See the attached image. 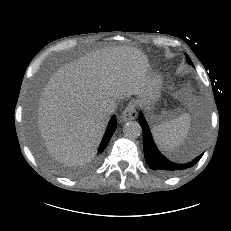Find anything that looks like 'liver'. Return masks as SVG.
Segmentation results:
<instances>
[{
  "instance_id": "liver-1",
  "label": "liver",
  "mask_w": 231,
  "mask_h": 231,
  "mask_svg": "<svg viewBox=\"0 0 231 231\" xmlns=\"http://www.w3.org/2000/svg\"><path fill=\"white\" fill-rule=\"evenodd\" d=\"M149 72L146 55L130 46L88 53L55 72L37 110L38 129L51 156L69 166L90 162L109 121L107 104L140 95Z\"/></svg>"
}]
</instances>
